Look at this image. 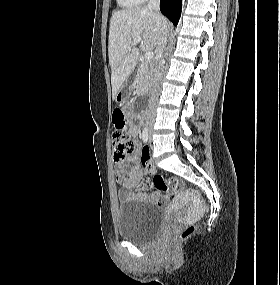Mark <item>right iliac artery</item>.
<instances>
[{"mask_svg":"<svg viewBox=\"0 0 280 285\" xmlns=\"http://www.w3.org/2000/svg\"><path fill=\"white\" fill-rule=\"evenodd\" d=\"M148 137H149V135H148V129L145 127V128L143 129V132H142V135H141V138H142L143 142L147 143Z\"/></svg>","mask_w":280,"mask_h":285,"instance_id":"right-iliac-artery-1","label":"right iliac artery"}]
</instances>
